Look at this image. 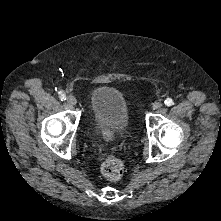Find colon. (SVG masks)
Returning a JSON list of instances; mask_svg holds the SVG:
<instances>
[{"label": "colon", "instance_id": "colon-1", "mask_svg": "<svg viewBox=\"0 0 221 221\" xmlns=\"http://www.w3.org/2000/svg\"><path fill=\"white\" fill-rule=\"evenodd\" d=\"M101 172L107 179L117 181L124 174V166L117 158H107L101 164Z\"/></svg>", "mask_w": 221, "mask_h": 221}]
</instances>
